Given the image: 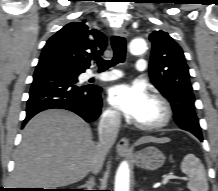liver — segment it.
Here are the masks:
<instances>
[{
	"label": "liver",
	"instance_id": "1",
	"mask_svg": "<svg viewBox=\"0 0 218 191\" xmlns=\"http://www.w3.org/2000/svg\"><path fill=\"white\" fill-rule=\"evenodd\" d=\"M169 141L145 136L136 144ZM96 146L90 126L76 114L61 109L43 111L23 130L15 152L12 184L50 189L79 182L92 170Z\"/></svg>",
	"mask_w": 218,
	"mask_h": 191
}]
</instances>
